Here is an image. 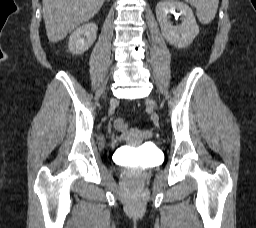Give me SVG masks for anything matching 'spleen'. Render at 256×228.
Returning a JSON list of instances; mask_svg holds the SVG:
<instances>
[{"mask_svg":"<svg viewBox=\"0 0 256 228\" xmlns=\"http://www.w3.org/2000/svg\"><path fill=\"white\" fill-rule=\"evenodd\" d=\"M196 8V14L202 24L210 23L217 13L219 0H185Z\"/></svg>","mask_w":256,"mask_h":228,"instance_id":"spleen-1","label":"spleen"}]
</instances>
